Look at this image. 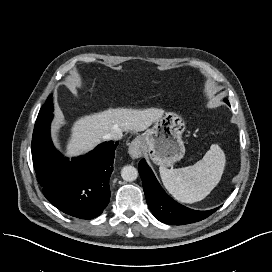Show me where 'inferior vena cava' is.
Wrapping results in <instances>:
<instances>
[{
    "label": "inferior vena cava",
    "instance_id": "obj_1",
    "mask_svg": "<svg viewBox=\"0 0 272 272\" xmlns=\"http://www.w3.org/2000/svg\"><path fill=\"white\" fill-rule=\"evenodd\" d=\"M122 131L119 128H114L111 132H109L108 134H106L104 136V139L106 140H112V141H117L120 140L122 138Z\"/></svg>",
    "mask_w": 272,
    "mask_h": 272
}]
</instances>
